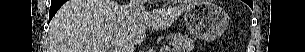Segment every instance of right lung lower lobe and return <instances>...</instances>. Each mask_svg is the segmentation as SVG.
<instances>
[{"label": "right lung lower lobe", "instance_id": "98d812e1", "mask_svg": "<svg viewBox=\"0 0 305 52\" xmlns=\"http://www.w3.org/2000/svg\"><path fill=\"white\" fill-rule=\"evenodd\" d=\"M65 0H52L49 13V21L55 15L57 10L65 3Z\"/></svg>", "mask_w": 305, "mask_h": 52}]
</instances>
